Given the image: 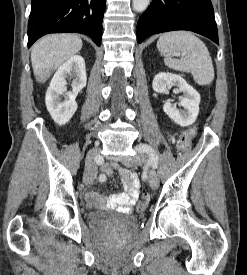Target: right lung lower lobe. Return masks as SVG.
Masks as SVG:
<instances>
[{
	"label": "right lung lower lobe",
	"instance_id": "98d812e1",
	"mask_svg": "<svg viewBox=\"0 0 247 275\" xmlns=\"http://www.w3.org/2000/svg\"><path fill=\"white\" fill-rule=\"evenodd\" d=\"M106 0H32L28 48L47 33L78 32L97 46L102 36Z\"/></svg>",
	"mask_w": 247,
	"mask_h": 275
}]
</instances>
